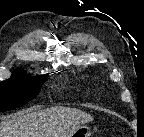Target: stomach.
Wrapping results in <instances>:
<instances>
[{
	"label": "stomach",
	"mask_w": 144,
	"mask_h": 137,
	"mask_svg": "<svg viewBox=\"0 0 144 137\" xmlns=\"http://www.w3.org/2000/svg\"><path fill=\"white\" fill-rule=\"evenodd\" d=\"M90 136H91V129L88 126H80L69 135V137H90Z\"/></svg>",
	"instance_id": "1"
}]
</instances>
